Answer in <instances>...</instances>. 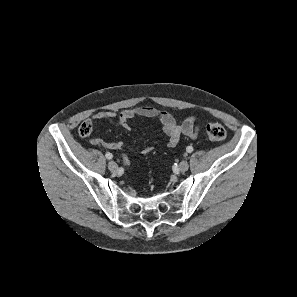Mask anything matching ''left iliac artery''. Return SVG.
I'll return each mask as SVG.
<instances>
[{"label": "left iliac artery", "instance_id": "1", "mask_svg": "<svg viewBox=\"0 0 297 297\" xmlns=\"http://www.w3.org/2000/svg\"><path fill=\"white\" fill-rule=\"evenodd\" d=\"M186 150H187L188 153H191L193 151V147L192 146H188L186 148Z\"/></svg>", "mask_w": 297, "mask_h": 297}]
</instances>
